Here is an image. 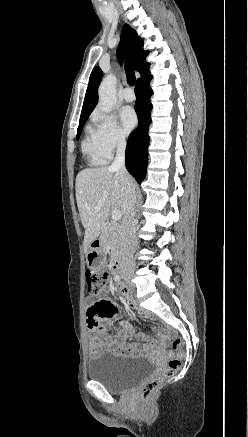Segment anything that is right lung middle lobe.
<instances>
[{"label":"right lung middle lobe","mask_w":248,"mask_h":437,"mask_svg":"<svg viewBox=\"0 0 248 437\" xmlns=\"http://www.w3.org/2000/svg\"><path fill=\"white\" fill-rule=\"evenodd\" d=\"M87 118H88V117L83 118V119H81L80 122H79L78 130H77V139L80 137V134H81V131H82L83 125L85 124Z\"/></svg>","instance_id":"1"}]
</instances>
